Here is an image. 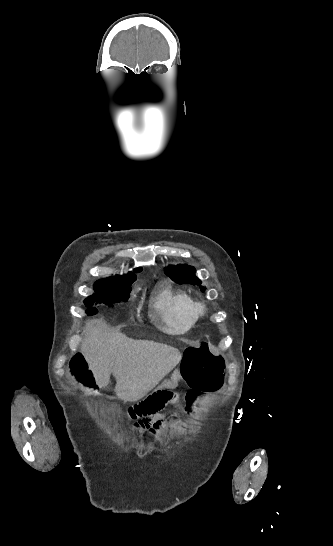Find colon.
I'll return each mask as SVG.
<instances>
[{"instance_id":"5ec220e1","label":"colon","mask_w":333,"mask_h":546,"mask_svg":"<svg viewBox=\"0 0 333 546\" xmlns=\"http://www.w3.org/2000/svg\"><path fill=\"white\" fill-rule=\"evenodd\" d=\"M223 366V359L216 355L206 342L186 349L182 363V374L193 388L191 395L195 392H211L219 389L224 380ZM69 369L74 377L83 379L80 383L85 385L86 390L96 391L98 389L95 381L90 379L97 376L95 373H90L95 369L93 367L87 368V360L84 355L75 354L72 356L69 361ZM172 398V393L168 391L155 392L144 400H139L137 404H131L128 408V415L142 422L146 417H153Z\"/></svg>"}]
</instances>
